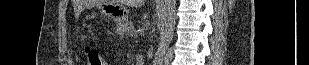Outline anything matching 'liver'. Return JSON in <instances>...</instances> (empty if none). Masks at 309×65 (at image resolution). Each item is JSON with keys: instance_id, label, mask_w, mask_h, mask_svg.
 I'll list each match as a JSON object with an SVG mask.
<instances>
[{"instance_id": "liver-1", "label": "liver", "mask_w": 309, "mask_h": 65, "mask_svg": "<svg viewBox=\"0 0 309 65\" xmlns=\"http://www.w3.org/2000/svg\"><path fill=\"white\" fill-rule=\"evenodd\" d=\"M114 3L126 4L128 6L140 7L143 4V0H117Z\"/></svg>"}]
</instances>
